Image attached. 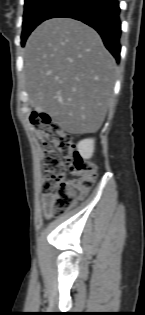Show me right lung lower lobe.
Segmentation results:
<instances>
[{
    "label": "right lung lower lobe",
    "instance_id": "1",
    "mask_svg": "<svg viewBox=\"0 0 145 315\" xmlns=\"http://www.w3.org/2000/svg\"><path fill=\"white\" fill-rule=\"evenodd\" d=\"M118 0H65L47 19L73 18L93 27L104 45L120 60L121 21Z\"/></svg>",
    "mask_w": 145,
    "mask_h": 315
}]
</instances>
